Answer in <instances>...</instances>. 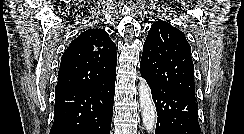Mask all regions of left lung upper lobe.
I'll return each instance as SVG.
<instances>
[{
  "label": "left lung upper lobe",
  "instance_id": "obj_1",
  "mask_svg": "<svg viewBox=\"0 0 244 134\" xmlns=\"http://www.w3.org/2000/svg\"><path fill=\"white\" fill-rule=\"evenodd\" d=\"M140 68L156 87L195 93L191 47L182 31L156 21L143 45Z\"/></svg>",
  "mask_w": 244,
  "mask_h": 134
}]
</instances>
